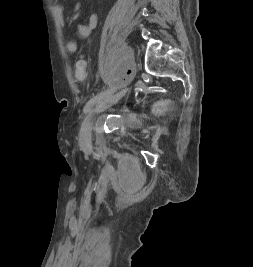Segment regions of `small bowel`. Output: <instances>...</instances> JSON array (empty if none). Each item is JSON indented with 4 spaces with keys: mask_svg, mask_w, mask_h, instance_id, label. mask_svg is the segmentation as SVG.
I'll return each mask as SVG.
<instances>
[{
    "mask_svg": "<svg viewBox=\"0 0 253 267\" xmlns=\"http://www.w3.org/2000/svg\"><path fill=\"white\" fill-rule=\"evenodd\" d=\"M57 1V0H56ZM53 12L58 18L60 27L63 32H65V21L63 17V6L60 4H55L53 6ZM98 23V16L96 13H91L89 15L87 23H80L77 25L76 30L77 34L81 39H86L90 36L93 29L96 27ZM66 51L70 54H74L78 51L79 43L72 39H66L65 41Z\"/></svg>",
    "mask_w": 253,
    "mask_h": 267,
    "instance_id": "1",
    "label": "small bowel"
}]
</instances>
